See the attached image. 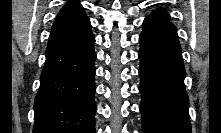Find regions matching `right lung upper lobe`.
<instances>
[{"instance_id":"cb5924a9","label":"right lung upper lobe","mask_w":221,"mask_h":133,"mask_svg":"<svg viewBox=\"0 0 221 133\" xmlns=\"http://www.w3.org/2000/svg\"><path fill=\"white\" fill-rule=\"evenodd\" d=\"M90 27L83 7L76 1L68 2L52 26L48 44L79 42L91 34Z\"/></svg>"}]
</instances>
